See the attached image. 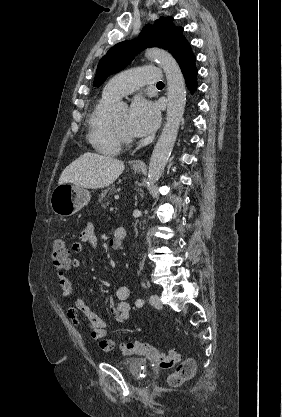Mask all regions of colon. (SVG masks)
<instances>
[{
    "mask_svg": "<svg viewBox=\"0 0 282 417\" xmlns=\"http://www.w3.org/2000/svg\"><path fill=\"white\" fill-rule=\"evenodd\" d=\"M51 258L55 267L59 269L68 268L71 264L65 242L60 235L52 240ZM104 353H113L114 345L107 340L102 347ZM122 351L126 355L144 357L152 360L161 369H170L178 362L180 356L175 347L169 348V353L158 350L148 342H135L122 345ZM197 370V363L194 358H187L175 372L168 376V382L172 386H179L183 381L192 378Z\"/></svg>",
    "mask_w": 282,
    "mask_h": 417,
    "instance_id": "colon-1",
    "label": "colon"
}]
</instances>
